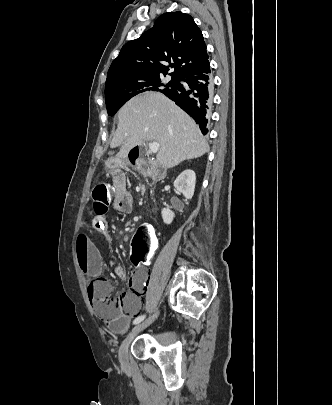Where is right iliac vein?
<instances>
[{
    "label": "right iliac vein",
    "mask_w": 332,
    "mask_h": 405,
    "mask_svg": "<svg viewBox=\"0 0 332 405\" xmlns=\"http://www.w3.org/2000/svg\"><path fill=\"white\" fill-rule=\"evenodd\" d=\"M158 316V313L153 315L152 318L148 319L147 321H144L137 326H135L131 332L127 335V337L124 339L122 342L120 349H119V360L120 363L123 366H126L128 364V348L133 341V339L141 333L144 329H146Z\"/></svg>",
    "instance_id": "63e3f726"
}]
</instances>
